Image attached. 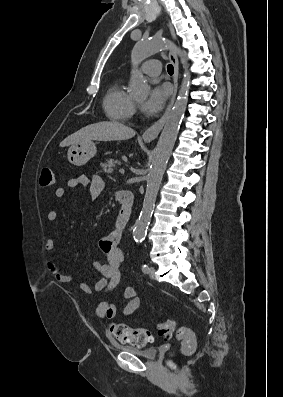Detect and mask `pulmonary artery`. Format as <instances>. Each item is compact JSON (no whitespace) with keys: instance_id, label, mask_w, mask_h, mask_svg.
I'll return each instance as SVG.
<instances>
[{"instance_id":"pulmonary-artery-1","label":"pulmonary artery","mask_w":283,"mask_h":397,"mask_svg":"<svg viewBox=\"0 0 283 397\" xmlns=\"http://www.w3.org/2000/svg\"><path fill=\"white\" fill-rule=\"evenodd\" d=\"M161 63L158 60L152 59L146 61L142 66V71L148 76H158L161 72Z\"/></svg>"}]
</instances>
